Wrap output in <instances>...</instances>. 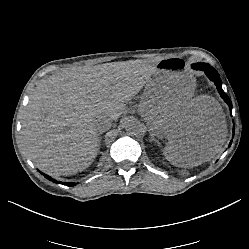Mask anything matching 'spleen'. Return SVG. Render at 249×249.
<instances>
[{"label":"spleen","mask_w":249,"mask_h":249,"mask_svg":"<svg viewBox=\"0 0 249 249\" xmlns=\"http://www.w3.org/2000/svg\"><path fill=\"white\" fill-rule=\"evenodd\" d=\"M171 150H172V148L166 147V148L164 149L163 154L166 156V158H167L168 160H175V157H174L172 154L168 155V152L171 151Z\"/></svg>","instance_id":"obj_1"}]
</instances>
